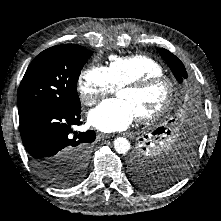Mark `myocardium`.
I'll use <instances>...</instances> for the list:
<instances>
[{
	"label": "myocardium",
	"mask_w": 221,
	"mask_h": 221,
	"mask_svg": "<svg viewBox=\"0 0 221 221\" xmlns=\"http://www.w3.org/2000/svg\"><path fill=\"white\" fill-rule=\"evenodd\" d=\"M158 83H165L167 85L168 97L165 103L155 112L147 115L138 116L136 119L140 123H151L158 121L170 111V109L172 108L175 102L177 95L178 86L176 81L172 77L165 74L149 75L139 80L126 83L122 85L119 89V90L143 91Z\"/></svg>",
	"instance_id": "1"
}]
</instances>
